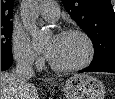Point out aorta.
Listing matches in <instances>:
<instances>
[{
	"instance_id": "762f6f07",
	"label": "aorta",
	"mask_w": 115,
	"mask_h": 99,
	"mask_svg": "<svg viewBox=\"0 0 115 99\" xmlns=\"http://www.w3.org/2000/svg\"><path fill=\"white\" fill-rule=\"evenodd\" d=\"M43 6L42 0H29L22 7L23 23L31 30L33 42L42 43L45 40V31L38 29L35 25L38 13Z\"/></svg>"
}]
</instances>
